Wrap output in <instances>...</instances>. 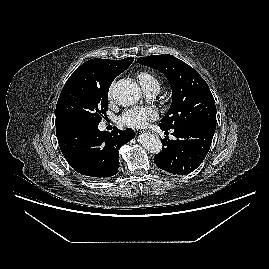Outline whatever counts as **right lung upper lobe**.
Instances as JSON below:
<instances>
[{
    "instance_id": "obj_1",
    "label": "right lung upper lobe",
    "mask_w": 269,
    "mask_h": 269,
    "mask_svg": "<svg viewBox=\"0 0 269 269\" xmlns=\"http://www.w3.org/2000/svg\"><path fill=\"white\" fill-rule=\"evenodd\" d=\"M134 58L122 60L91 59L79 66L69 78L79 77L86 82L97 85H111L113 80L125 71ZM62 127L56 125V128Z\"/></svg>"
}]
</instances>
